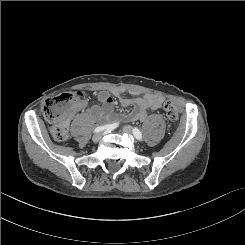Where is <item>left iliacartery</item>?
I'll use <instances>...</instances> for the list:
<instances>
[{"mask_svg":"<svg viewBox=\"0 0 245 245\" xmlns=\"http://www.w3.org/2000/svg\"><path fill=\"white\" fill-rule=\"evenodd\" d=\"M133 134L137 140H140V141L142 140V134L138 128L136 127L133 128Z\"/></svg>","mask_w":245,"mask_h":245,"instance_id":"1","label":"left iliac artery"}]
</instances>
